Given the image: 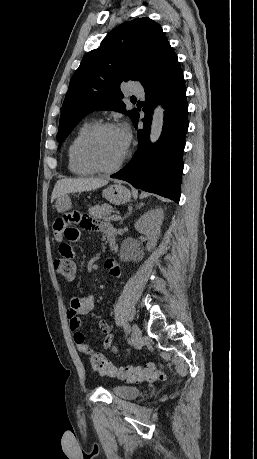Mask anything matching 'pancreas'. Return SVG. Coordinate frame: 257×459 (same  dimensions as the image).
Segmentation results:
<instances>
[{
    "label": "pancreas",
    "instance_id": "pancreas-1",
    "mask_svg": "<svg viewBox=\"0 0 257 459\" xmlns=\"http://www.w3.org/2000/svg\"><path fill=\"white\" fill-rule=\"evenodd\" d=\"M115 212L114 208L109 204H97L89 208V215L93 218L103 219L105 221L111 220L110 214Z\"/></svg>",
    "mask_w": 257,
    "mask_h": 459
}]
</instances>
